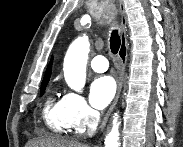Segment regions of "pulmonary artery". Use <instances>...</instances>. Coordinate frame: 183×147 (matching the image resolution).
<instances>
[{
    "label": "pulmonary artery",
    "instance_id": "pulmonary-artery-1",
    "mask_svg": "<svg viewBox=\"0 0 183 147\" xmlns=\"http://www.w3.org/2000/svg\"><path fill=\"white\" fill-rule=\"evenodd\" d=\"M92 70L98 73L105 72L108 69V61L104 56H96L90 61Z\"/></svg>",
    "mask_w": 183,
    "mask_h": 147
}]
</instances>
